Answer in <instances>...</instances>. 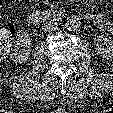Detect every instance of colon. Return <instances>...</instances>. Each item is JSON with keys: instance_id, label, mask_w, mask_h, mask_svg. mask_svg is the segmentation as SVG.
Listing matches in <instances>:
<instances>
[{"instance_id": "obj_1", "label": "colon", "mask_w": 113, "mask_h": 113, "mask_svg": "<svg viewBox=\"0 0 113 113\" xmlns=\"http://www.w3.org/2000/svg\"><path fill=\"white\" fill-rule=\"evenodd\" d=\"M1 2L2 0H0V3ZM13 37L14 34L10 29L0 27V60L4 57L5 53L9 49Z\"/></svg>"}]
</instances>
